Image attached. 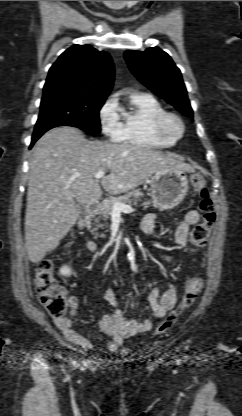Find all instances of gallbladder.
<instances>
[{"label": "gallbladder", "mask_w": 242, "mask_h": 416, "mask_svg": "<svg viewBox=\"0 0 242 416\" xmlns=\"http://www.w3.org/2000/svg\"><path fill=\"white\" fill-rule=\"evenodd\" d=\"M76 205L80 215H84L86 213V205L79 203L76 201Z\"/></svg>", "instance_id": "bac80fb5"}]
</instances>
